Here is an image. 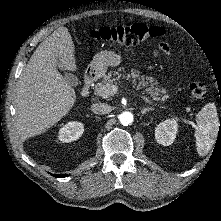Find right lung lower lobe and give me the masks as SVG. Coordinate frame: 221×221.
<instances>
[{
    "label": "right lung lower lobe",
    "instance_id": "right-lung-lower-lobe-1",
    "mask_svg": "<svg viewBox=\"0 0 221 221\" xmlns=\"http://www.w3.org/2000/svg\"><path fill=\"white\" fill-rule=\"evenodd\" d=\"M52 176L58 177V178H63V177H66V176H68V175H67V174H64V175H54V174H52Z\"/></svg>",
    "mask_w": 221,
    "mask_h": 221
}]
</instances>
